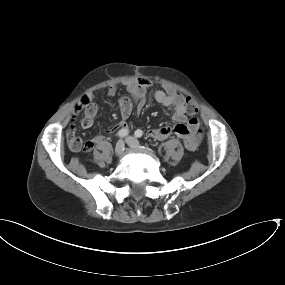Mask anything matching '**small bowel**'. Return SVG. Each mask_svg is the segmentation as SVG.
<instances>
[{
	"label": "small bowel",
	"mask_w": 285,
	"mask_h": 285,
	"mask_svg": "<svg viewBox=\"0 0 285 285\" xmlns=\"http://www.w3.org/2000/svg\"><path fill=\"white\" fill-rule=\"evenodd\" d=\"M149 87V81L145 78H140L137 81L129 82L126 86L128 96L119 99V107L121 112V120L114 127V130L127 129V119L131 114L133 104H137V109L142 110L146 105V95ZM117 93V86L111 85L107 88V95L115 96ZM90 100L94 99L93 93L89 92ZM154 98L159 104L169 107L173 110L174 124L170 126L154 127L148 130V135L157 140H164L170 136H178L183 140L184 147L189 151H194L200 145L203 139V131L201 123L197 116L186 115L187 109L185 98L182 94L170 91L165 92L158 90L154 93ZM81 111H78L80 113ZM97 108L94 103H91L84 111V118L82 119V126L90 128L93 125L94 117ZM75 133V127L71 125L67 130L69 147L73 151H78L75 147L72 136ZM100 136H95L87 140V146L84 151H90L95 142L100 140Z\"/></svg>",
	"instance_id": "1"
}]
</instances>
